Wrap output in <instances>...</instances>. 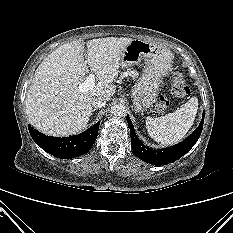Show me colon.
<instances>
[{
  "instance_id": "5ec220e1",
  "label": "colon",
  "mask_w": 233,
  "mask_h": 233,
  "mask_svg": "<svg viewBox=\"0 0 233 233\" xmlns=\"http://www.w3.org/2000/svg\"><path fill=\"white\" fill-rule=\"evenodd\" d=\"M188 86L182 73L175 72L172 75L170 93L161 95L157 102V110L160 112L166 111L172 104L174 98L183 97L188 94Z\"/></svg>"
}]
</instances>
